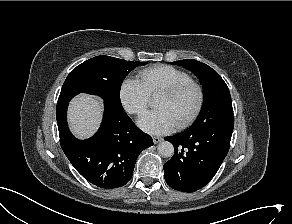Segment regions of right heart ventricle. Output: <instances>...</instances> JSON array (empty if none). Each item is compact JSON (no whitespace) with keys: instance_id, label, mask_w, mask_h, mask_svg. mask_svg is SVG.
Returning <instances> with one entry per match:
<instances>
[{"instance_id":"right-heart-ventricle-1","label":"right heart ventricle","mask_w":292,"mask_h":224,"mask_svg":"<svg viewBox=\"0 0 292 224\" xmlns=\"http://www.w3.org/2000/svg\"><path fill=\"white\" fill-rule=\"evenodd\" d=\"M189 80L191 76L187 72L165 64L146 68L139 73V81L150 97H156L162 90Z\"/></svg>"}]
</instances>
